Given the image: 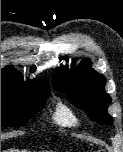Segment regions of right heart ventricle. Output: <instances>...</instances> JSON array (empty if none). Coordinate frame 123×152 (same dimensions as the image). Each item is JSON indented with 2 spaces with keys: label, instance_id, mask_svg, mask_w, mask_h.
<instances>
[{
  "label": "right heart ventricle",
  "instance_id": "right-heart-ventricle-1",
  "mask_svg": "<svg viewBox=\"0 0 123 152\" xmlns=\"http://www.w3.org/2000/svg\"><path fill=\"white\" fill-rule=\"evenodd\" d=\"M53 122L61 127L73 128L80 124L76 114L65 104H57L52 116Z\"/></svg>",
  "mask_w": 123,
  "mask_h": 152
}]
</instances>
